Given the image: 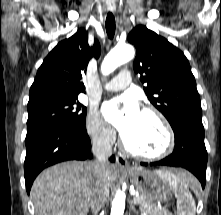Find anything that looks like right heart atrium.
Returning a JSON list of instances; mask_svg holds the SVG:
<instances>
[{"label": "right heart atrium", "instance_id": "1", "mask_svg": "<svg viewBox=\"0 0 221 215\" xmlns=\"http://www.w3.org/2000/svg\"><path fill=\"white\" fill-rule=\"evenodd\" d=\"M89 136L97 143L110 144L114 139L113 129L105 123L96 108H91L86 121Z\"/></svg>", "mask_w": 221, "mask_h": 215}]
</instances>
